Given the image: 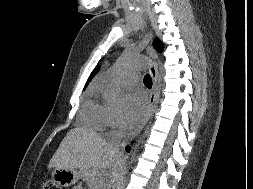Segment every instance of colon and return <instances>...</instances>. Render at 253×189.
Here are the masks:
<instances>
[{
	"label": "colon",
	"mask_w": 253,
	"mask_h": 189,
	"mask_svg": "<svg viewBox=\"0 0 253 189\" xmlns=\"http://www.w3.org/2000/svg\"><path fill=\"white\" fill-rule=\"evenodd\" d=\"M42 189H61L54 181L45 180Z\"/></svg>",
	"instance_id": "obj_1"
}]
</instances>
